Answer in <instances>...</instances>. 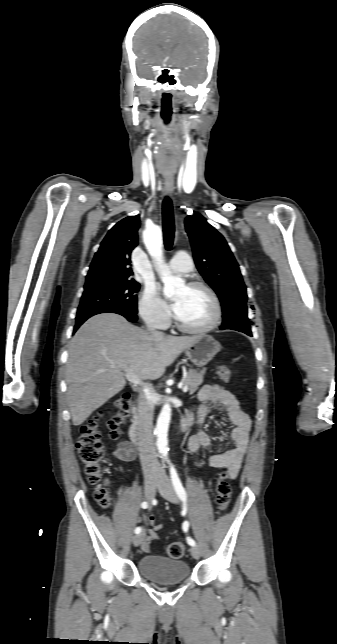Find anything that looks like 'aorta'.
<instances>
[{"mask_svg":"<svg viewBox=\"0 0 337 644\" xmlns=\"http://www.w3.org/2000/svg\"><path fill=\"white\" fill-rule=\"evenodd\" d=\"M146 248L157 265L160 278L164 284L163 292L165 296H172L175 292L185 285V281L177 276H173L164 264L163 242L161 231L158 228L149 230L144 235ZM171 419V407L166 403L159 414L155 428L156 445L162 456L168 454V428Z\"/></svg>","mask_w":337,"mask_h":644,"instance_id":"obj_1","label":"aorta"}]
</instances>
